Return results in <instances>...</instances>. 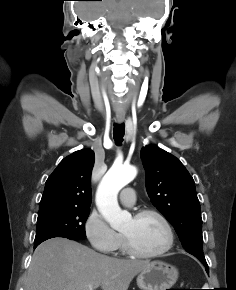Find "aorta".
Masks as SVG:
<instances>
[{
	"label": "aorta",
	"mask_w": 236,
	"mask_h": 290,
	"mask_svg": "<svg viewBox=\"0 0 236 290\" xmlns=\"http://www.w3.org/2000/svg\"><path fill=\"white\" fill-rule=\"evenodd\" d=\"M136 174V168L133 166L114 165L105 174L98 186L96 205L104 219L115 230L123 228L131 219L129 212L121 210L117 195L135 178Z\"/></svg>",
	"instance_id": "762f6f07"
}]
</instances>
